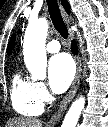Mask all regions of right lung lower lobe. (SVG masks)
I'll return each instance as SVG.
<instances>
[{
  "instance_id": "obj_1",
  "label": "right lung lower lobe",
  "mask_w": 108,
  "mask_h": 127,
  "mask_svg": "<svg viewBox=\"0 0 108 127\" xmlns=\"http://www.w3.org/2000/svg\"><path fill=\"white\" fill-rule=\"evenodd\" d=\"M72 52L74 53V54H77V46H76V44H75V42L73 41V43H72Z\"/></svg>"
}]
</instances>
